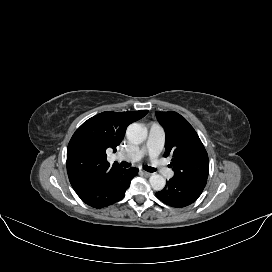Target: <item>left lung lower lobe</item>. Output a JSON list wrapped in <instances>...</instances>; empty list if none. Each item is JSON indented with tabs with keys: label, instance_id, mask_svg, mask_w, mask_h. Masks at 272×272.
<instances>
[{
	"label": "left lung lower lobe",
	"instance_id": "1",
	"mask_svg": "<svg viewBox=\"0 0 272 272\" xmlns=\"http://www.w3.org/2000/svg\"><path fill=\"white\" fill-rule=\"evenodd\" d=\"M207 179H170L156 196L172 207H185L195 202L201 195Z\"/></svg>",
	"mask_w": 272,
	"mask_h": 272
}]
</instances>
